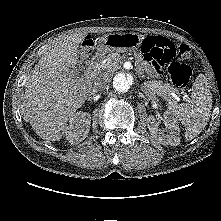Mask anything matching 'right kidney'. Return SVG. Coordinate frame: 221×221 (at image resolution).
<instances>
[{
  "mask_svg": "<svg viewBox=\"0 0 221 221\" xmlns=\"http://www.w3.org/2000/svg\"><path fill=\"white\" fill-rule=\"evenodd\" d=\"M91 117L89 113L77 112L69 120V126L66 127L65 136L69 143L76 145L83 141L90 130Z\"/></svg>",
  "mask_w": 221,
  "mask_h": 221,
  "instance_id": "obj_1",
  "label": "right kidney"
}]
</instances>
